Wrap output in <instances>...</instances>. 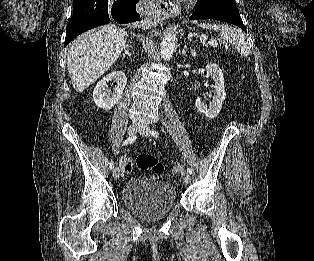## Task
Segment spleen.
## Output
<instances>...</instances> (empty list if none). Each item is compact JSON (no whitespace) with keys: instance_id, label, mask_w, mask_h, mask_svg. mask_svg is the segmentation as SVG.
<instances>
[{"instance_id":"obj_1","label":"spleen","mask_w":314,"mask_h":261,"mask_svg":"<svg viewBox=\"0 0 314 261\" xmlns=\"http://www.w3.org/2000/svg\"><path fill=\"white\" fill-rule=\"evenodd\" d=\"M196 23V22H195ZM202 28L214 30L220 32V35L223 39L230 42L233 46L236 47L237 52L242 57H247L250 55V47L246 40L244 33L230 25L225 24H209L203 23L199 25Z\"/></svg>"}]
</instances>
